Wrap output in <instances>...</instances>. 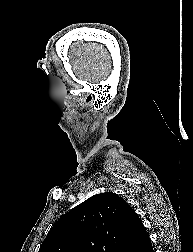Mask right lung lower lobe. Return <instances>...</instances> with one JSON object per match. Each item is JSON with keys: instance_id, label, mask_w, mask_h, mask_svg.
Returning <instances> with one entry per match:
<instances>
[{"instance_id": "1", "label": "right lung lower lobe", "mask_w": 193, "mask_h": 252, "mask_svg": "<svg viewBox=\"0 0 193 252\" xmlns=\"http://www.w3.org/2000/svg\"><path fill=\"white\" fill-rule=\"evenodd\" d=\"M129 252H154L150 238L145 231L142 232L138 241L134 246L129 250Z\"/></svg>"}]
</instances>
